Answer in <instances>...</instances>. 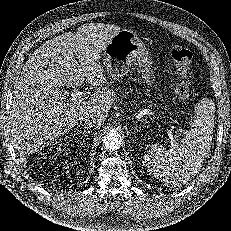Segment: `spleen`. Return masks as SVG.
Listing matches in <instances>:
<instances>
[{"label": "spleen", "mask_w": 231, "mask_h": 231, "mask_svg": "<svg viewBox=\"0 0 231 231\" xmlns=\"http://www.w3.org/2000/svg\"><path fill=\"white\" fill-rule=\"evenodd\" d=\"M213 126V110L198 105L195 120L181 144L169 149L159 144L151 146L144 155L143 166L166 185L185 184L198 173L210 152Z\"/></svg>", "instance_id": "spleen-1"}]
</instances>
